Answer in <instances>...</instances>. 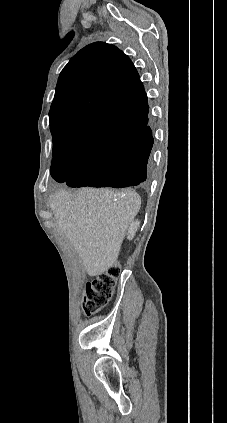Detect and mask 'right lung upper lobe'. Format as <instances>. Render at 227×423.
<instances>
[{
  "label": "right lung upper lobe",
  "instance_id": "cb5924a9",
  "mask_svg": "<svg viewBox=\"0 0 227 423\" xmlns=\"http://www.w3.org/2000/svg\"><path fill=\"white\" fill-rule=\"evenodd\" d=\"M131 60L104 42L80 50L62 70L50 108L53 143L81 153L123 140L132 133L124 120H108L98 111L145 97Z\"/></svg>",
  "mask_w": 227,
  "mask_h": 423
}]
</instances>
